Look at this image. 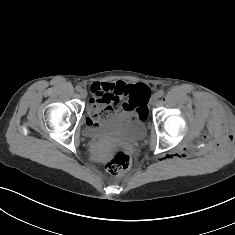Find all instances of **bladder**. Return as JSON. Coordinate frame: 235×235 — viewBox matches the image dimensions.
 <instances>
[{"mask_svg": "<svg viewBox=\"0 0 235 235\" xmlns=\"http://www.w3.org/2000/svg\"><path fill=\"white\" fill-rule=\"evenodd\" d=\"M84 131L88 137L111 135L128 141H137L146 135V122L139 112H122L115 114L99 127L86 124Z\"/></svg>", "mask_w": 235, "mask_h": 235, "instance_id": "31cf9c89", "label": "bladder"}]
</instances>
